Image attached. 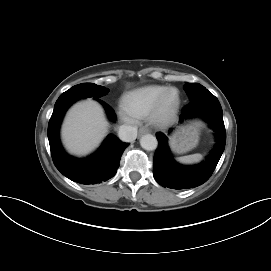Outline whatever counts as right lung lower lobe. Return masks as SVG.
<instances>
[{
    "mask_svg": "<svg viewBox=\"0 0 271 271\" xmlns=\"http://www.w3.org/2000/svg\"><path fill=\"white\" fill-rule=\"evenodd\" d=\"M78 99L61 98L54 106L53 114L48 125V139L51 155L56 168L67 178L81 184H96L112 178L117 169L122 153L129 145L122 143L118 138L109 135L99 150L86 159H76L69 156L59 141V127L62 118L68 109ZM106 108L109 117L115 120L111 107L96 98Z\"/></svg>",
    "mask_w": 271,
    "mask_h": 271,
    "instance_id": "1",
    "label": "right lung lower lobe"
}]
</instances>
